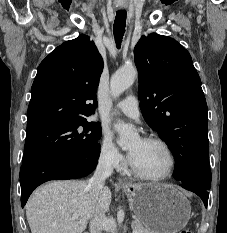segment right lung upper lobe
<instances>
[{
    "label": "right lung upper lobe",
    "instance_id": "obj_1",
    "mask_svg": "<svg viewBox=\"0 0 227 233\" xmlns=\"http://www.w3.org/2000/svg\"><path fill=\"white\" fill-rule=\"evenodd\" d=\"M102 70L103 59L86 35L52 51L39 65L31 88L27 134L94 113Z\"/></svg>",
    "mask_w": 227,
    "mask_h": 233
}]
</instances>
